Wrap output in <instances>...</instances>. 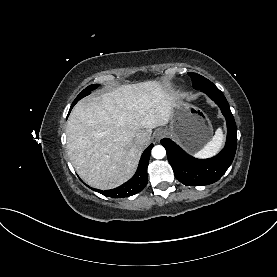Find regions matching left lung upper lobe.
Returning a JSON list of instances; mask_svg holds the SVG:
<instances>
[{
  "label": "left lung upper lobe",
  "instance_id": "5c2ea615",
  "mask_svg": "<svg viewBox=\"0 0 277 277\" xmlns=\"http://www.w3.org/2000/svg\"><path fill=\"white\" fill-rule=\"evenodd\" d=\"M188 75L191 77L193 87L196 90H202L204 88L215 86L211 81H209L208 79H206L205 77L199 74L190 72L188 73Z\"/></svg>",
  "mask_w": 277,
  "mask_h": 277
}]
</instances>
